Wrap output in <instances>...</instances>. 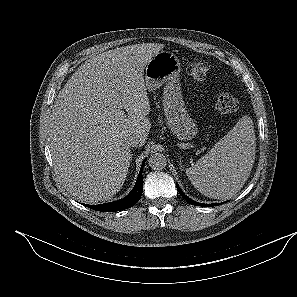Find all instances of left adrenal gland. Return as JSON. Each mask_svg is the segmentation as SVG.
<instances>
[{
  "mask_svg": "<svg viewBox=\"0 0 297 297\" xmlns=\"http://www.w3.org/2000/svg\"><path fill=\"white\" fill-rule=\"evenodd\" d=\"M180 167L182 168L183 166H182V161H181V157H180Z\"/></svg>",
  "mask_w": 297,
  "mask_h": 297,
  "instance_id": "obj_1",
  "label": "left adrenal gland"
}]
</instances>
